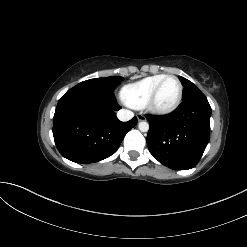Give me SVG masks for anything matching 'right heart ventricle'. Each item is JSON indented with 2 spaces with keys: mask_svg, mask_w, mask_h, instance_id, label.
<instances>
[{
  "mask_svg": "<svg viewBox=\"0 0 247 247\" xmlns=\"http://www.w3.org/2000/svg\"><path fill=\"white\" fill-rule=\"evenodd\" d=\"M165 76L166 74H155L128 84L122 88L121 95L129 106L142 108L145 106L155 86Z\"/></svg>",
  "mask_w": 247,
  "mask_h": 247,
  "instance_id": "e07e8e85",
  "label": "right heart ventricle"
}]
</instances>
